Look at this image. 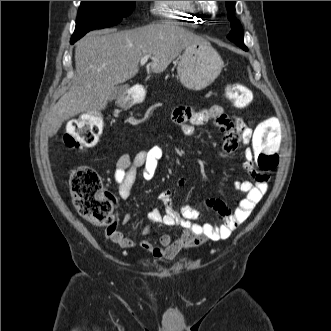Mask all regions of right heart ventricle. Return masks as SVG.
Returning a JSON list of instances; mask_svg holds the SVG:
<instances>
[{
    "mask_svg": "<svg viewBox=\"0 0 331 331\" xmlns=\"http://www.w3.org/2000/svg\"><path fill=\"white\" fill-rule=\"evenodd\" d=\"M152 11L161 20L193 26L191 23L199 22L206 9L203 1H154Z\"/></svg>",
    "mask_w": 331,
    "mask_h": 331,
    "instance_id": "e07e8e85",
    "label": "right heart ventricle"
}]
</instances>
